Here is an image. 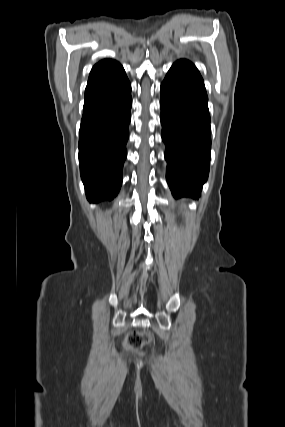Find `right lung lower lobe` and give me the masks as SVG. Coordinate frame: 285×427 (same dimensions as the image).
I'll return each instance as SVG.
<instances>
[{
  "label": "right lung lower lobe",
  "mask_w": 285,
  "mask_h": 427,
  "mask_svg": "<svg viewBox=\"0 0 285 427\" xmlns=\"http://www.w3.org/2000/svg\"><path fill=\"white\" fill-rule=\"evenodd\" d=\"M131 106V84L122 66L88 81L79 160L89 202L112 200L120 190Z\"/></svg>",
  "instance_id": "right-lung-lower-lobe-1"
}]
</instances>
